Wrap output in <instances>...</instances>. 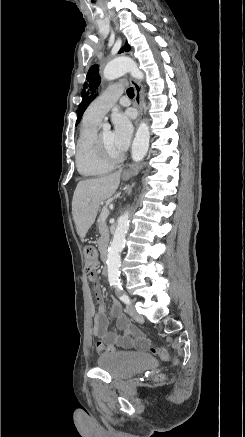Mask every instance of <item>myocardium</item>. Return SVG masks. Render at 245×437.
<instances>
[{
    "label": "myocardium",
    "instance_id": "obj_1",
    "mask_svg": "<svg viewBox=\"0 0 245 437\" xmlns=\"http://www.w3.org/2000/svg\"><path fill=\"white\" fill-rule=\"evenodd\" d=\"M93 145H94V149H95V152L98 155V157L105 162L115 164V163L120 162L123 158L122 154H120L118 156H113L106 150V148L101 140V132L96 133L94 140H93Z\"/></svg>",
    "mask_w": 245,
    "mask_h": 437
}]
</instances>
